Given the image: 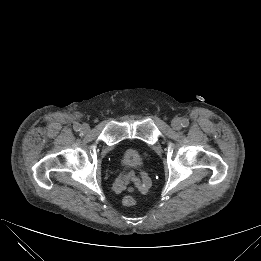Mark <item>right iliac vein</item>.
Listing matches in <instances>:
<instances>
[{"label": "right iliac vein", "instance_id": "obj_1", "mask_svg": "<svg viewBox=\"0 0 261 261\" xmlns=\"http://www.w3.org/2000/svg\"><path fill=\"white\" fill-rule=\"evenodd\" d=\"M89 125L88 124H83L81 127L82 132L87 133L89 131Z\"/></svg>", "mask_w": 261, "mask_h": 261}]
</instances>
